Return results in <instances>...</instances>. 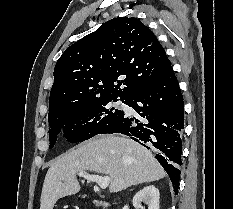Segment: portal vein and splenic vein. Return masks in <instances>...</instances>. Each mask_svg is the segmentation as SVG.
I'll return each mask as SVG.
<instances>
[{"mask_svg": "<svg viewBox=\"0 0 233 209\" xmlns=\"http://www.w3.org/2000/svg\"><path fill=\"white\" fill-rule=\"evenodd\" d=\"M78 175L87 179L88 181L96 182L101 189H106L110 183L109 176H99V175H92L86 174L85 172H79Z\"/></svg>", "mask_w": 233, "mask_h": 209, "instance_id": "portal-vein-and-splenic-vein-1", "label": "portal vein and splenic vein"}]
</instances>
